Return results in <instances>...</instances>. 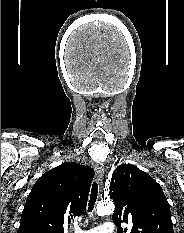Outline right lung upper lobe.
Listing matches in <instances>:
<instances>
[{
  "label": "right lung upper lobe",
  "instance_id": "obj_1",
  "mask_svg": "<svg viewBox=\"0 0 184 233\" xmlns=\"http://www.w3.org/2000/svg\"><path fill=\"white\" fill-rule=\"evenodd\" d=\"M94 170L65 162L34 184L22 211L17 233H64V227L86 209Z\"/></svg>",
  "mask_w": 184,
  "mask_h": 233
}]
</instances>
